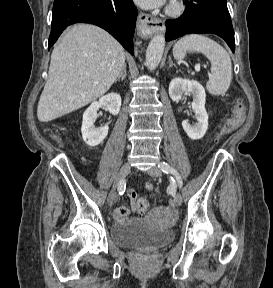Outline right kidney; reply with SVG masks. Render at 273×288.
Returning a JSON list of instances; mask_svg holds the SVG:
<instances>
[{
	"instance_id": "obj_1",
	"label": "right kidney",
	"mask_w": 273,
	"mask_h": 288,
	"mask_svg": "<svg viewBox=\"0 0 273 288\" xmlns=\"http://www.w3.org/2000/svg\"><path fill=\"white\" fill-rule=\"evenodd\" d=\"M100 107H106L110 113L117 115L121 107L120 95L117 93L107 94L101 97L99 101L93 102L84 112L81 127L82 138L91 147L102 143L109 130L107 124L101 127H95L94 125Z\"/></svg>"
}]
</instances>
